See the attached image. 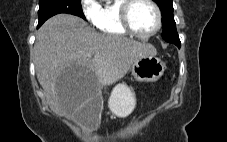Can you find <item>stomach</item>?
<instances>
[{
	"mask_svg": "<svg viewBox=\"0 0 227 142\" xmlns=\"http://www.w3.org/2000/svg\"><path fill=\"white\" fill-rule=\"evenodd\" d=\"M165 63L156 56H146L136 60L131 72L138 82H155L165 71ZM136 105L135 91L132 86L120 83L113 89L109 98L110 110L119 117L128 116Z\"/></svg>",
	"mask_w": 227,
	"mask_h": 142,
	"instance_id": "0dacf381",
	"label": "stomach"
}]
</instances>
